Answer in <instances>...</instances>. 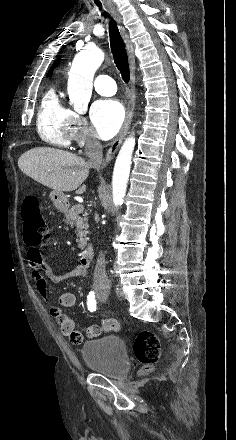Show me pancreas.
<instances>
[{"mask_svg": "<svg viewBox=\"0 0 236 440\" xmlns=\"http://www.w3.org/2000/svg\"><path fill=\"white\" fill-rule=\"evenodd\" d=\"M81 212L78 211L77 205L71 207L69 211L65 213V221L71 227L74 225L77 226V237L79 238V248L84 249L87 245L86 235L88 233V223L86 217H81L79 214Z\"/></svg>", "mask_w": 236, "mask_h": 440, "instance_id": "pancreas-1", "label": "pancreas"}]
</instances>
